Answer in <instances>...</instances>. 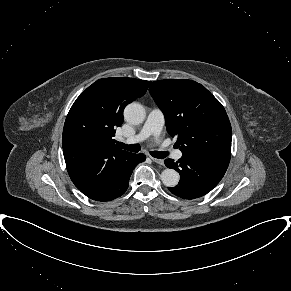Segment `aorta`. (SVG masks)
Listing matches in <instances>:
<instances>
[{"instance_id":"obj_1","label":"aorta","mask_w":291,"mask_h":291,"mask_svg":"<svg viewBox=\"0 0 291 291\" xmlns=\"http://www.w3.org/2000/svg\"><path fill=\"white\" fill-rule=\"evenodd\" d=\"M146 113L144 107L136 102L128 104L124 110L125 120L131 124H141L145 119ZM161 181L167 187H174L179 182V173L167 168L161 173Z\"/></svg>"}]
</instances>
